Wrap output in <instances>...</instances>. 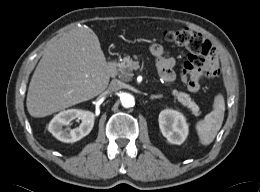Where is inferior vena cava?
Returning <instances> with one entry per match:
<instances>
[{"instance_id":"602c4592","label":"inferior vena cava","mask_w":260,"mask_h":192,"mask_svg":"<svg viewBox=\"0 0 260 192\" xmlns=\"http://www.w3.org/2000/svg\"><path fill=\"white\" fill-rule=\"evenodd\" d=\"M123 86V83L118 80V79H113L110 84H109V87L107 89V92H115V91H118L122 88Z\"/></svg>"}]
</instances>
